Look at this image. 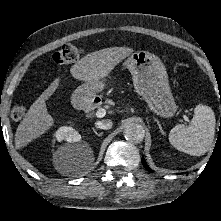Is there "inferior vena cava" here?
I'll return each mask as SVG.
<instances>
[{
	"mask_svg": "<svg viewBox=\"0 0 221 221\" xmlns=\"http://www.w3.org/2000/svg\"><path fill=\"white\" fill-rule=\"evenodd\" d=\"M112 125H113V123L109 119H105V120H102V121H97L95 123L96 128L103 129V130L111 129Z\"/></svg>",
	"mask_w": 221,
	"mask_h": 221,
	"instance_id": "602c4592",
	"label": "inferior vena cava"
}]
</instances>
